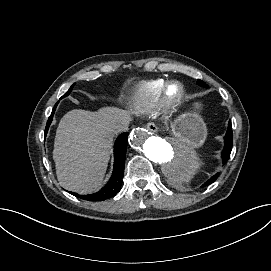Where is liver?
I'll list each match as a JSON object with an SVG mask.
<instances>
[{
    "instance_id": "1",
    "label": "liver",
    "mask_w": 271,
    "mask_h": 271,
    "mask_svg": "<svg viewBox=\"0 0 271 271\" xmlns=\"http://www.w3.org/2000/svg\"><path fill=\"white\" fill-rule=\"evenodd\" d=\"M130 119L121 109L72 110L61 119L53 157L60 184L81 193L96 189L109 162L116 125Z\"/></svg>"
}]
</instances>
